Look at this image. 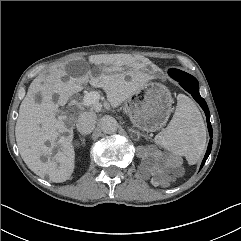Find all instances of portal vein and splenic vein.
<instances>
[{"label":"portal vein and splenic vein","instance_id":"1","mask_svg":"<svg viewBox=\"0 0 241 241\" xmlns=\"http://www.w3.org/2000/svg\"><path fill=\"white\" fill-rule=\"evenodd\" d=\"M98 102H99V94L97 92H90L83 97L82 104L84 106H91V105L96 106Z\"/></svg>","mask_w":241,"mask_h":241}]
</instances>
